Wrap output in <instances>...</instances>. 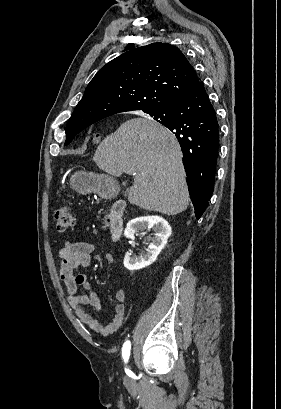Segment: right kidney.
I'll return each instance as SVG.
<instances>
[{
  "mask_svg": "<svg viewBox=\"0 0 281 409\" xmlns=\"http://www.w3.org/2000/svg\"><path fill=\"white\" fill-rule=\"evenodd\" d=\"M152 229L154 231V237H152V243H149L148 249L140 255H134V253H125L124 257V267L128 271H139V269H144V267H149L154 261H156L160 251L165 247L168 237L172 233V229L163 219V217H157V215H148V217H136V219H131L127 223V227L124 231V237L127 239H134L136 233L140 231H149ZM140 235H146V233H140Z\"/></svg>",
  "mask_w": 281,
  "mask_h": 409,
  "instance_id": "ca27d5eb",
  "label": "right kidney"
}]
</instances>
